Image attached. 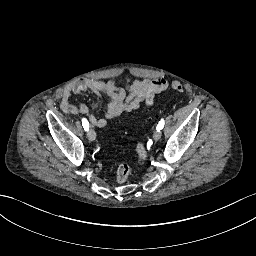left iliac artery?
Listing matches in <instances>:
<instances>
[{
    "label": "left iliac artery",
    "mask_w": 256,
    "mask_h": 256,
    "mask_svg": "<svg viewBox=\"0 0 256 256\" xmlns=\"http://www.w3.org/2000/svg\"><path fill=\"white\" fill-rule=\"evenodd\" d=\"M164 127V119H161L157 125V130H161Z\"/></svg>",
    "instance_id": "44dca946"
}]
</instances>
